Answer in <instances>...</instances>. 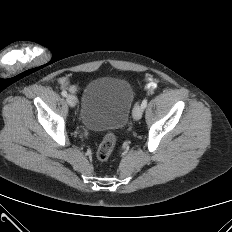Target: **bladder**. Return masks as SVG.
Instances as JSON below:
<instances>
[{
  "mask_svg": "<svg viewBox=\"0 0 232 232\" xmlns=\"http://www.w3.org/2000/svg\"><path fill=\"white\" fill-rule=\"evenodd\" d=\"M134 101L131 85L123 79L100 77L84 88L80 120L93 131L117 130L127 123Z\"/></svg>",
  "mask_w": 232,
  "mask_h": 232,
  "instance_id": "31cf9c89",
  "label": "bladder"
}]
</instances>
